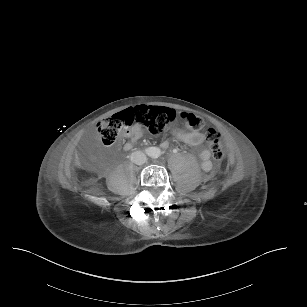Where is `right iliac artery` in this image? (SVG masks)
<instances>
[{"mask_svg": "<svg viewBox=\"0 0 307 307\" xmlns=\"http://www.w3.org/2000/svg\"><path fill=\"white\" fill-rule=\"evenodd\" d=\"M152 151H153V150H151L149 153H148V151H146V154H148V155H149V154H150Z\"/></svg>", "mask_w": 307, "mask_h": 307, "instance_id": "82829eb1", "label": "right iliac artery"}]
</instances>
